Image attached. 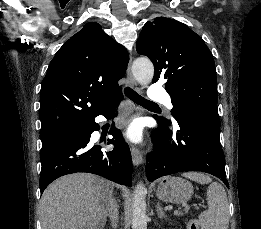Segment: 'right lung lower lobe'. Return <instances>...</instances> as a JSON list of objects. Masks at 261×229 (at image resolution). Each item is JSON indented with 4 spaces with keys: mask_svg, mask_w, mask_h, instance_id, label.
<instances>
[{
    "mask_svg": "<svg viewBox=\"0 0 261 229\" xmlns=\"http://www.w3.org/2000/svg\"><path fill=\"white\" fill-rule=\"evenodd\" d=\"M123 99L122 94L115 97L98 115L108 117L114 107ZM98 123L93 120L87 127L69 134L42 149L40 191L60 176L87 172L100 175L111 181L125 186H132V161L128 145L117 137L121 131L112 125L107 144H113L111 151H102L98 145H92L90 136L93 131L99 130Z\"/></svg>",
    "mask_w": 261,
    "mask_h": 229,
    "instance_id": "right-lung-lower-lobe-1",
    "label": "right lung lower lobe"
}]
</instances>
